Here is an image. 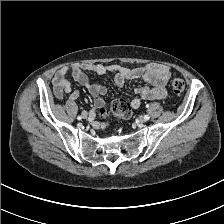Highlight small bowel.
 <instances>
[{
    "label": "small bowel",
    "mask_w": 224,
    "mask_h": 224,
    "mask_svg": "<svg viewBox=\"0 0 224 224\" xmlns=\"http://www.w3.org/2000/svg\"><path fill=\"white\" fill-rule=\"evenodd\" d=\"M91 71L99 76L108 72L115 73V83L122 87L127 80L142 79L148 85L135 88L137 97L133 98L129 106L132 109H138L144 100L165 99L167 96L166 83L170 77V68L162 64H147L141 67L129 68L120 65H103L99 63L74 64L71 67L64 66L60 68L53 78L54 94L61 99L69 95L72 100L79 97V92L71 89V82L67 78L69 72L72 73L74 80L85 87L94 98L95 108L103 104V96L107 89L104 85L91 82L86 74Z\"/></svg>",
    "instance_id": "obj_1"
}]
</instances>
